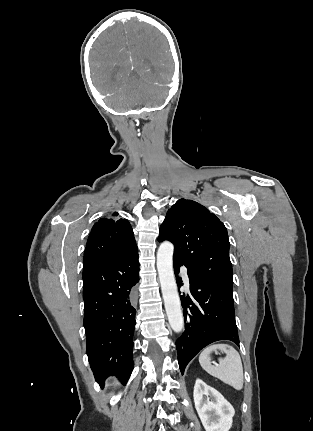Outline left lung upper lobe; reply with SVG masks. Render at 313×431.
Returning <instances> with one entry per match:
<instances>
[{"label":"left lung upper lobe","mask_w":313,"mask_h":431,"mask_svg":"<svg viewBox=\"0 0 313 431\" xmlns=\"http://www.w3.org/2000/svg\"><path fill=\"white\" fill-rule=\"evenodd\" d=\"M164 240L174 244L173 259L186 266L193 277L232 290L227 229L206 207L178 200L161 224L158 241Z\"/></svg>","instance_id":"1"}]
</instances>
